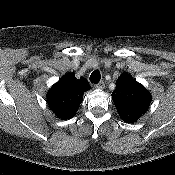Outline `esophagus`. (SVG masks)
I'll return each mask as SVG.
<instances>
[{
  "label": "esophagus",
  "mask_w": 175,
  "mask_h": 175,
  "mask_svg": "<svg viewBox=\"0 0 175 175\" xmlns=\"http://www.w3.org/2000/svg\"><path fill=\"white\" fill-rule=\"evenodd\" d=\"M95 87H96L97 89L102 90V89H104V87H105V83H104L103 81H100L99 83H97V84L95 85Z\"/></svg>",
  "instance_id": "obj_1"
}]
</instances>
